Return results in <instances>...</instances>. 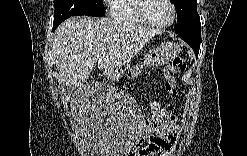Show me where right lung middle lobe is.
Instances as JSON below:
<instances>
[{"instance_id": "right-lung-middle-lobe-1", "label": "right lung middle lobe", "mask_w": 247, "mask_h": 156, "mask_svg": "<svg viewBox=\"0 0 247 156\" xmlns=\"http://www.w3.org/2000/svg\"><path fill=\"white\" fill-rule=\"evenodd\" d=\"M96 16L105 15L102 0H55L54 23L59 25L71 16Z\"/></svg>"}]
</instances>
